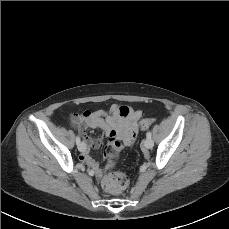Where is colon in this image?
Returning a JSON list of instances; mask_svg holds the SVG:
<instances>
[{"label": "colon", "mask_w": 229, "mask_h": 229, "mask_svg": "<svg viewBox=\"0 0 229 229\" xmlns=\"http://www.w3.org/2000/svg\"><path fill=\"white\" fill-rule=\"evenodd\" d=\"M153 123L152 119H144L140 123L142 129H147ZM135 136V131H133ZM117 139V133L112 131L109 134V142ZM102 185L106 192L111 195L118 196L121 195L128 186V178L122 172H111L106 173L102 180Z\"/></svg>", "instance_id": "colon-1"}]
</instances>
